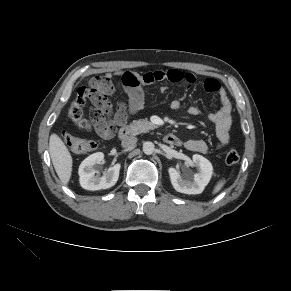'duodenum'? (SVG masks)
<instances>
[{
  "mask_svg": "<svg viewBox=\"0 0 291 291\" xmlns=\"http://www.w3.org/2000/svg\"><path fill=\"white\" fill-rule=\"evenodd\" d=\"M131 134L132 129L127 125H123L119 130L118 136L120 139L124 140L127 139ZM164 140L166 143L171 145H177L179 143V139L174 134H167L164 137Z\"/></svg>",
  "mask_w": 291,
  "mask_h": 291,
  "instance_id": "1",
  "label": "duodenum"
}]
</instances>
